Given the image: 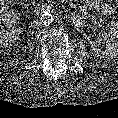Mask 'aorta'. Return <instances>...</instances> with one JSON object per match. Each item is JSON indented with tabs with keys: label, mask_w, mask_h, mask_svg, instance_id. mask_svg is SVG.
I'll return each mask as SVG.
<instances>
[{
	"label": "aorta",
	"mask_w": 118,
	"mask_h": 118,
	"mask_svg": "<svg viewBox=\"0 0 118 118\" xmlns=\"http://www.w3.org/2000/svg\"><path fill=\"white\" fill-rule=\"evenodd\" d=\"M54 18L53 15L49 12H44L41 16V22L44 25H50L53 22Z\"/></svg>",
	"instance_id": "aorta-1"
}]
</instances>
